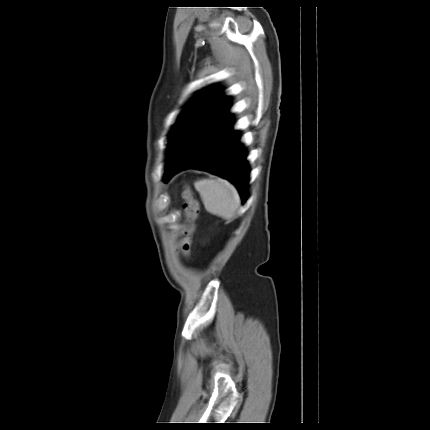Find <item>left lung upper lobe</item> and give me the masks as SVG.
Returning <instances> with one entry per match:
<instances>
[{
    "label": "left lung upper lobe",
    "instance_id": "1",
    "mask_svg": "<svg viewBox=\"0 0 430 430\" xmlns=\"http://www.w3.org/2000/svg\"><path fill=\"white\" fill-rule=\"evenodd\" d=\"M230 107V98L224 94L222 89L218 87L203 89L179 115L169 135V156L188 141L198 124L208 116L217 115L231 120Z\"/></svg>",
    "mask_w": 430,
    "mask_h": 430
}]
</instances>
